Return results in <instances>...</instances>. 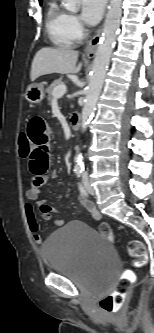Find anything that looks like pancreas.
<instances>
[{
    "label": "pancreas",
    "instance_id": "1",
    "mask_svg": "<svg viewBox=\"0 0 154 333\" xmlns=\"http://www.w3.org/2000/svg\"><path fill=\"white\" fill-rule=\"evenodd\" d=\"M61 84H63V81H62V78H59V79H57V80H55V81H53V83H51L48 87H47V89H46V92H47V94H48V101L49 102H51L52 101V99H53V90H54V88L56 87V86H58V85H61Z\"/></svg>",
    "mask_w": 154,
    "mask_h": 333
}]
</instances>
